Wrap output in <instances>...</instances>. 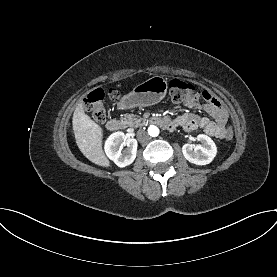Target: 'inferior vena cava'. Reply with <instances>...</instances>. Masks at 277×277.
Masks as SVG:
<instances>
[{
  "label": "inferior vena cava",
  "instance_id": "inferior-vena-cava-1",
  "mask_svg": "<svg viewBox=\"0 0 277 277\" xmlns=\"http://www.w3.org/2000/svg\"><path fill=\"white\" fill-rule=\"evenodd\" d=\"M137 139L140 142H147V141H149L150 137H149L148 133L145 130H139L137 132Z\"/></svg>",
  "mask_w": 277,
  "mask_h": 277
}]
</instances>
